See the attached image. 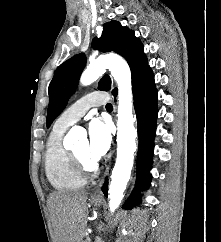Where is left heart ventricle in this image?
<instances>
[{"instance_id": "obj_1", "label": "left heart ventricle", "mask_w": 221, "mask_h": 242, "mask_svg": "<svg viewBox=\"0 0 221 242\" xmlns=\"http://www.w3.org/2000/svg\"><path fill=\"white\" fill-rule=\"evenodd\" d=\"M74 152L85 162H92L88 155V143L86 141L79 143L75 147Z\"/></svg>"}]
</instances>
